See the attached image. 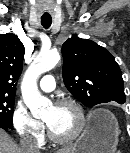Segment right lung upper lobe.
<instances>
[{
  "instance_id": "right-lung-upper-lobe-1",
  "label": "right lung upper lobe",
  "mask_w": 130,
  "mask_h": 153,
  "mask_svg": "<svg viewBox=\"0 0 130 153\" xmlns=\"http://www.w3.org/2000/svg\"><path fill=\"white\" fill-rule=\"evenodd\" d=\"M24 53L25 48L16 35L0 34V94L15 96Z\"/></svg>"
}]
</instances>
